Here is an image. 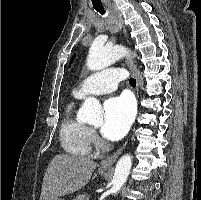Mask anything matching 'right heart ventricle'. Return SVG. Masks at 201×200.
Masks as SVG:
<instances>
[{"label":"right heart ventricle","mask_w":201,"mask_h":200,"mask_svg":"<svg viewBox=\"0 0 201 200\" xmlns=\"http://www.w3.org/2000/svg\"><path fill=\"white\" fill-rule=\"evenodd\" d=\"M80 97L74 95L64 111L60 126V141L64 150L73 155H87L91 151L90 129L76 115Z\"/></svg>","instance_id":"obj_1"}]
</instances>
